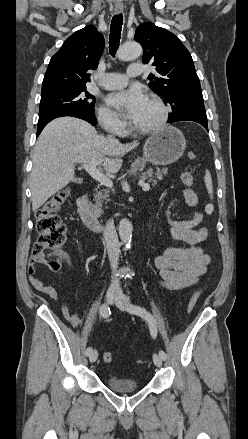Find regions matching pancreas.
<instances>
[{
	"mask_svg": "<svg viewBox=\"0 0 248 439\" xmlns=\"http://www.w3.org/2000/svg\"><path fill=\"white\" fill-rule=\"evenodd\" d=\"M163 174H167L166 169H163L162 171L157 170L156 172H154L152 169H149L147 172L142 174L141 178L142 180L149 179L148 181L152 183V185H156L157 179H161ZM94 196H95L96 204L98 206H100L101 202L106 198V195H101L100 192H96Z\"/></svg>",
	"mask_w": 248,
	"mask_h": 439,
	"instance_id": "cf45deb5",
	"label": "pancreas"
}]
</instances>
